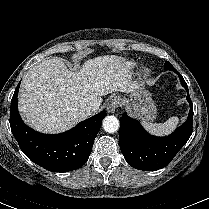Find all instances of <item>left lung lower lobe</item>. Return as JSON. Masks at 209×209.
<instances>
[{"instance_id":"0a47b994","label":"left lung lower lobe","mask_w":209,"mask_h":209,"mask_svg":"<svg viewBox=\"0 0 209 209\" xmlns=\"http://www.w3.org/2000/svg\"><path fill=\"white\" fill-rule=\"evenodd\" d=\"M179 75L182 86L187 91L190 111L187 121L168 137H156L147 133L137 120L123 113L120 118L119 144L125 160L139 170H158L169 164L192 134L193 104L188 86Z\"/></svg>"}]
</instances>
